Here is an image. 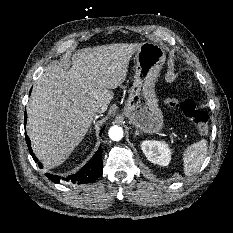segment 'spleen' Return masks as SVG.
<instances>
[{"instance_id": "3e777b00", "label": "spleen", "mask_w": 233, "mask_h": 233, "mask_svg": "<svg viewBox=\"0 0 233 233\" xmlns=\"http://www.w3.org/2000/svg\"><path fill=\"white\" fill-rule=\"evenodd\" d=\"M207 141L202 139L190 145L183 153L184 174L190 176L202 166L207 155Z\"/></svg>"}]
</instances>
